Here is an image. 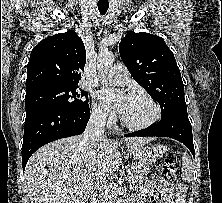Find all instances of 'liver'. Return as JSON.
<instances>
[{
    "mask_svg": "<svg viewBox=\"0 0 222 203\" xmlns=\"http://www.w3.org/2000/svg\"><path fill=\"white\" fill-rule=\"evenodd\" d=\"M151 138H126L130 149L143 147ZM131 154V153H130ZM122 164L120 153L109 140L87 147L83 136L54 141L37 150L24 171L31 203H85L97 180L105 179Z\"/></svg>",
    "mask_w": 222,
    "mask_h": 203,
    "instance_id": "6515ba94",
    "label": "liver"
}]
</instances>
